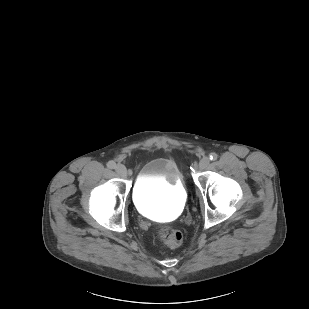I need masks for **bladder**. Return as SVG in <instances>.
I'll return each mask as SVG.
<instances>
[{
	"label": "bladder",
	"instance_id": "1",
	"mask_svg": "<svg viewBox=\"0 0 309 309\" xmlns=\"http://www.w3.org/2000/svg\"><path fill=\"white\" fill-rule=\"evenodd\" d=\"M133 200L141 213L167 220L176 216L186 202V189L177 163L170 158H155L138 172Z\"/></svg>",
	"mask_w": 309,
	"mask_h": 309
}]
</instances>
